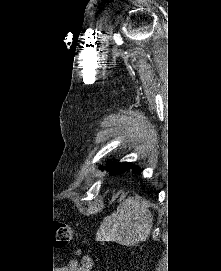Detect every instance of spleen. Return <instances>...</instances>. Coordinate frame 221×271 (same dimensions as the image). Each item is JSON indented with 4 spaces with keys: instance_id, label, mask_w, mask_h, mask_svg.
<instances>
[{
    "instance_id": "1",
    "label": "spleen",
    "mask_w": 221,
    "mask_h": 271,
    "mask_svg": "<svg viewBox=\"0 0 221 271\" xmlns=\"http://www.w3.org/2000/svg\"><path fill=\"white\" fill-rule=\"evenodd\" d=\"M153 215L140 197H129L119 203L117 211L104 217L99 241H118L121 245H137L147 241L152 229Z\"/></svg>"
}]
</instances>
